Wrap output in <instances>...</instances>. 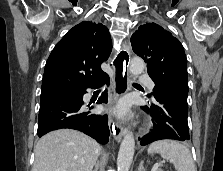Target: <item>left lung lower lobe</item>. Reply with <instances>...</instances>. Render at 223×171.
<instances>
[{
  "mask_svg": "<svg viewBox=\"0 0 223 171\" xmlns=\"http://www.w3.org/2000/svg\"><path fill=\"white\" fill-rule=\"evenodd\" d=\"M152 117L151 131L139 138L145 146L157 140H189L187 99L171 90H160L155 93L154 101L142 107Z\"/></svg>",
  "mask_w": 223,
  "mask_h": 171,
  "instance_id": "0a47b994",
  "label": "left lung lower lobe"
}]
</instances>
